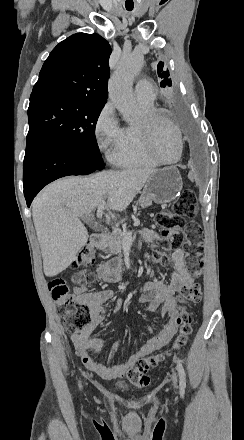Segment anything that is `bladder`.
I'll return each instance as SVG.
<instances>
[{
    "label": "bladder",
    "mask_w": 244,
    "mask_h": 440,
    "mask_svg": "<svg viewBox=\"0 0 244 440\" xmlns=\"http://www.w3.org/2000/svg\"><path fill=\"white\" fill-rule=\"evenodd\" d=\"M117 386L121 389H125L127 388L126 383L125 382H117Z\"/></svg>",
    "instance_id": "31cf9c89"
}]
</instances>
